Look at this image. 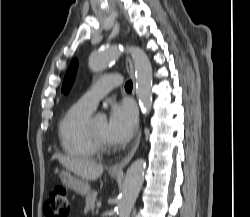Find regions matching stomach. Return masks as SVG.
Instances as JSON below:
<instances>
[{
    "label": "stomach",
    "mask_w": 250,
    "mask_h": 217,
    "mask_svg": "<svg viewBox=\"0 0 250 217\" xmlns=\"http://www.w3.org/2000/svg\"><path fill=\"white\" fill-rule=\"evenodd\" d=\"M111 175L116 176L117 174L111 173ZM60 178L66 187L72 189L81 196H85L90 192V185L87 182L76 178L67 170L60 172Z\"/></svg>",
    "instance_id": "stomach-1"
}]
</instances>
